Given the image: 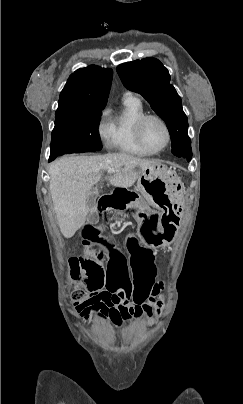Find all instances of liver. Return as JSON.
Listing matches in <instances>:
<instances>
[{
    "mask_svg": "<svg viewBox=\"0 0 243 404\" xmlns=\"http://www.w3.org/2000/svg\"><path fill=\"white\" fill-rule=\"evenodd\" d=\"M154 160H141L130 154L105 156H63L50 164V194L61 234L72 238L86 222L87 194L100 182L103 172L116 170L109 178L116 188H131L140 170L156 166ZM139 168V170H136Z\"/></svg>",
    "mask_w": 243,
    "mask_h": 404,
    "instance_id": "obj_1",
    "label": "liver"
}]
</instances>
